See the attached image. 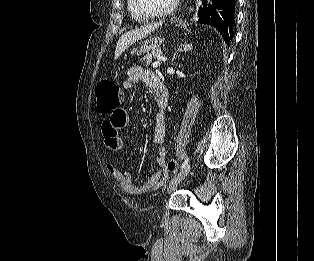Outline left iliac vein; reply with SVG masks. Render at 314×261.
<instances>
[{"mask_svg":"<svg viewBox=\"0 0 314 261\" xmlns=\"http://www.w3.org/2000/svg\"><path fill=\"white\" fill-rule=\"evenodd\" d=\"M191 170V165L187 164L177 175H175L169 183L168 192L174 190L188 175Z\"/></svg>","mask_w":314,"mask_h":261,"instance_id":"4c4485c4","label":"left iliac vein"}]
</instances>
